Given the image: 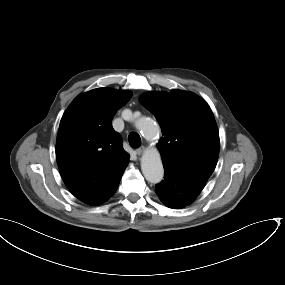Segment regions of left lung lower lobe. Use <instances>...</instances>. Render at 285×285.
<instances>
[{"label":"left lung lower lobe","mask_w":285,"mask_h":285,"mask_svg":"<svg viewBox=\"0 0 285 285\" xmlns=\"http://www.w3.org/2000/svg\"><path fill=\"white\" fill-rule=\"evenodd\" d=\"M164 180L156 185L155 192L170 208H182L192 203L206 182L169 167H164Z\"/></svg>","instance_id":"obj_1"}]
</instances>
